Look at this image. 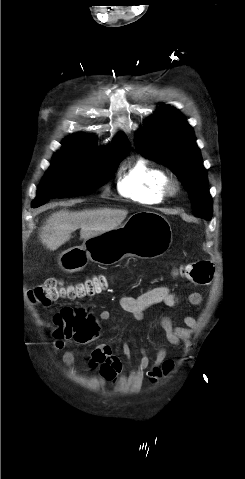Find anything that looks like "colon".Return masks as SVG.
Listing matches in <instances>:
<instances>
[{
    "label": "colon",
    "mask_w": 245,
    "mask_h": 479,
    "mask_svg": "<svg viewBox=\"0 0 245 479\" xmlns=\"http://www.w3.org/2000/svg\"><path fill=\"white\" fill-rule=\"evenodd\" d=\"M180 274L195 284L205 285L211 282L214 266L208 260H199L180 267ZM107 285L106 277L93 275L84 282L65 286L59 278H49L28 291V298L34 304L43 306L61 298H80L101 292ZM91 315L80 307H66L54 315L53 321L57 326L54 333L56 338H79L87 325ZM173 368V361L167 360L161 372L150 376L152 381L167 375Z\"/></svg>",
    "instance_id": "obj_1"
}]
</instances>
